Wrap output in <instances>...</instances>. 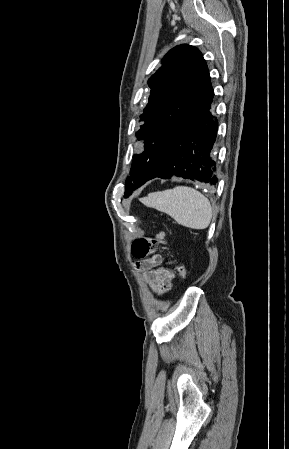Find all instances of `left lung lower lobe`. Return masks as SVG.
I'll return each mask as SVG.
<instances>
[{
  "instance_id": "0a47b994",
  "label": "left lung lower lobe",
  "mask_w": 289,
  "mask_h": 449,
  "mask_svg": "<svg viewBox=\"0 0 289 449\" xmlns=\"http://www.w3.org/2000/svg\"><path fill=\"white\" fill-rule=\"evenodd\" d=\"M213 97L209 81L192 114L166 137L162 170L150 179L177 176L210 185L218 182L213 154L218 121L211 114Z\"/></svg>"
}]
</instances>
